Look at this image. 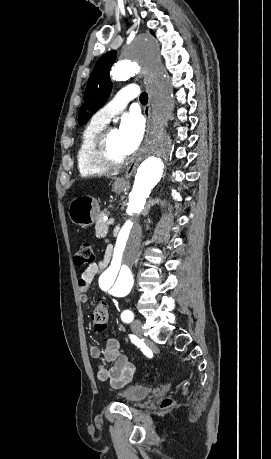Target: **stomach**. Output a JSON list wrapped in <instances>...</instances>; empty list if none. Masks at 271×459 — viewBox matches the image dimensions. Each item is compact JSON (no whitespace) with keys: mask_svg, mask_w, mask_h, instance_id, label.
<instances>
[{"mask_svg":"<svg viewBox=\"0 0 271 459\" xmlns=\"http://www.w3.org/2000/svg\"><path fill=\"white\" fill-rule=\"evenodd\" d=\"M125 190V186H112V192L115 194H121ZM98 202L90 196H80L75 198L69 204L68 216L72 224L81 226V228H88L93 226L99 216Z\"/></svg>","mask_w":271,"mask_h":459,"instance_id":"stomach-1","label":"stomach"}]
</instances>
